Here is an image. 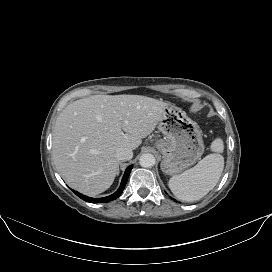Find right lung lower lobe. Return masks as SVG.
<instances>
[{
  "label": "right lung lower lobe",
  "mask_w": 272,
  "mask_h": 272,
  "mask_svg": "<svg viewBox=\"0 0 272 272\" xmlns=\"http://www.w3.org/2000/svg\"><path fill=\"white\" fill-rule=\"evenodd\" d=\"M133 168V165H130L126 170H125V173H124V176L122 178V181H121V184H120V187L119 189L112 195L110 196H107V197H103V198H91V197H88V196H85V195H82L80 194L79 192H76V191H73L77 196H79L81 199L87 201V202H90V203H106V202H109V201H112V200H115L116 198H118L121 193L123 192L124 188H125V185L127 183V180H128V177H129V174L131 172Z\"/></svg>",
  "instance_id": "98d812e1"
}]
</instances>
